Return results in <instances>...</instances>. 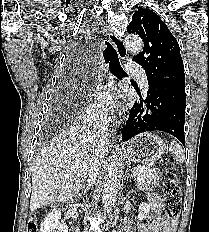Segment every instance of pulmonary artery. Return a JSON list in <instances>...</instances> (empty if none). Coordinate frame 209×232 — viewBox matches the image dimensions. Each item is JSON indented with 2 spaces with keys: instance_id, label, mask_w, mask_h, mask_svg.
<instances>
[{
  "instance_id": "1",
  "label": "pulmonary artery",
  "mask_w": 209,
  "mask_h": 232,
  "mask_svg": "<svg viewBox=\"0 0 209 232\" xmlns=\"http://www.w3.org/2000/svg\"><path fill=\"white\" fill-rule=\"evenodd\" d=\"M127 68L132 75H134L138 78L141 87L143 89H147L148 88V81H147V77L145 75V72L141 68H139L138 66L133 65V64L128 65Z\"/></svg>"
}]
</instances>
